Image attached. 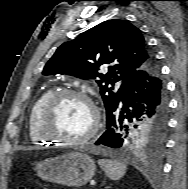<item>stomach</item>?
Returning <instances> with one entry per match:
<instances>
[{"mask_svg":"<svg viewBox=\"0 0 188 189\" xmlns=\"http://www.w3.org/2000/svg\"><path fill=\"white\" fill-rule=\"evenodd\" d=\"M35 171L44 180L80 187L92 179L96 166L89 155L70 152L39 162Z\"/></svg>","mask_w":188,"mask_h":189,"instance_id":"stomach-1","label":"stomach"}]
</instances>
